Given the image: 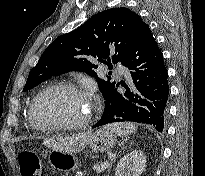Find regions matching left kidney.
Returning a JSON list of instances; mask_svg holds the SVG:
<instances>
[{
	"instance_id": "obj_1",
	"label": "left kidney",
	"mask_w": 205,
	"mask_h": 176,
	"mask_svg": "<svg viewBox=\"0 0 205 176\" xmlns=\"http://www.w3.org/2000/svg\"><path fill=\"white\" fill-rule=\"evenodd\" d=\"M146 167V156L140 150L126 154L117 164L115 176H140Z\"/></svg>"
}]
</instances>
